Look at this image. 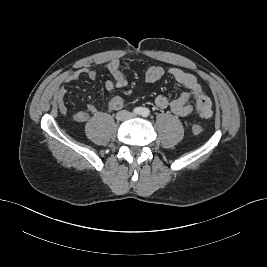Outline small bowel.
<instances>
[{"label":"small bowel","mask_w":267,"mask_h":267,"mask_svg":"<svg viewBox=\"0 0 267 267\" xmlns=\"http://www.w3.org/2000/svg\"><path fill=\"white\" fill-rule=\"evenodd\" d=\"M106 69L112 75V80L105 82V89L109 94L107 108L109 110H120L124 106V100L121 96L115 94L118 89L127 86V79L121 69L118 59L110 60L105 65ZM166 74L172 77L179 85L184 88V92L177 98L169 99L164 95L155 98V105L160 109H169L173 114L180 117L197 116L201 119H208L212 116V101L210 96L203 90L197 78L177 67L164 69L161 66H151L145 73L148 82H156L161 80ZM82 75H86L89 79H96V71L90 68H81L65 77L66 82L77 81ZM67 89L61 86L55 95L58 110L61 114L67 113L66 98ZM194 99V104H190L189 100ZM103 109L95 104H89L86 110H81L73 115L75 121L85 123L90 115H97Z\"/></svg>","instance_id":"c3829d8e"}]
</instances>
